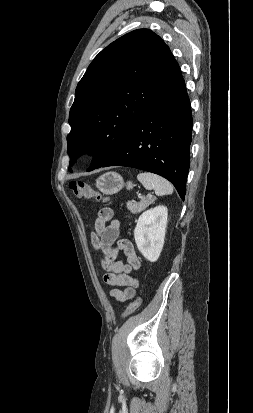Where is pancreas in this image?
<instances>
[{
	"mask_svg": "<svg viewBox=\"0 0 253 413\" xmlns=\"http://www.w3.org/2000/svg\"><path fill=\"white\" fill-rule=\"evenodd\" d=\"M155 201L154 197H143L140 202H128L127 208L133 214H138Z\"/></svg>",
	"mask_w": 253,
	"mask_h": 413,
	"instance_id": "pancreas-1",
	"label": "pancreas"
}]
</instances>
